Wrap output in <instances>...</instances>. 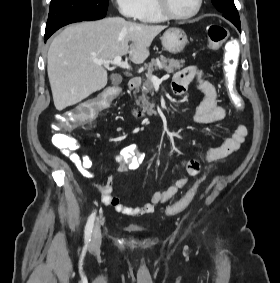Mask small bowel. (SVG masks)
I'll list each match as a JSON object with an SVG mask.
<instances>
[{
	"label": "small bowel",
	"mask_w": 280,
	"mask_h": 283,
	"mask_svg": "<svg viewBox=\"0 0 280 283\" xmlns=\"http://www.w3.org/2000/svg\"><path fill=\"white\" fill-rule=\"evenodd\" d=\"M193 81L197 82L198 88L204 94V99L198 106L194 119L196 123L202 125H212L220 122L226 116V110L217 102V92L215 87L205 80L200 71L194 67H187L176 73L172 90L175 94L184 93ZM248 130L245 125L236 126L233 133L228 136L224 142L208 149L203 156L204 161L211 163L226 158L237 151L245 141ZM67 153L69 160L75 165L77 170L85 178L94 180L95 173L92 170L93 161L90 156L78 154L75 149ZM118 164L117 171L120 173L135 171L144 160V154L141 153L135 144H126L121 147L115 157ZM186 175L177 179L164 191L154 192L148 203L133 207L123 204L120 199L113 195V179L109 176L105 183H93V187L101 194L104 205L112 207L116 212L129 217H141L153 213L159 204L166 203L172 199L176 193L189 183V177L202 176L208 170V166L202 164L197 159H185L182 162Z\"/></svg>",
	"instance_id": "c3829d8e"
}]
</instances>
